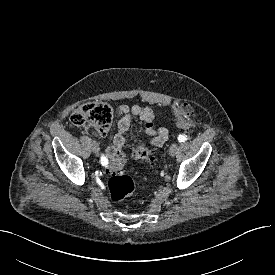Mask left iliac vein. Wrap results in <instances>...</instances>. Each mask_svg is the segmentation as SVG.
Returning <instances> with one entry per match:
<instances>
[{
    "label": "left iliac vein",
    "instance_id": "obj_1",
    "mask_svg": "<svg viewBox=\"0 0 275 275\" xmlns=\"http://www.w3.org/2000/svg\"><path fill=\"white\" fill-rule=\"evenodd\" d=\"M178 151V145L177 144H172L169 148V153L171 156H174Z\"/></svg>",
    "mask_w": 275,
    "mask_h": 275
}]
</instances>
